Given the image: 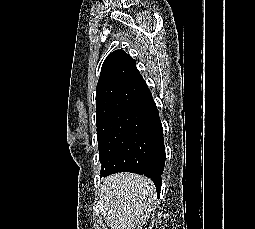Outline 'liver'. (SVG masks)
Instances as JSON below:
<instances>
[{"instance_id":"6515ba94","label":"liver","mask_w":255,"mask_h":229,"mask_svg":"<svg viewBox=\"0 0 255 229\" xmlns=\"http://www.w3.org/2000/svg\"><path fill=\"white\" fill-rule=\"evenodd\" d=\"M101 199L111 229H135L155 207V186L144 176L117 173L104 179Z\"/></svg>"}]
</instances>
